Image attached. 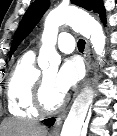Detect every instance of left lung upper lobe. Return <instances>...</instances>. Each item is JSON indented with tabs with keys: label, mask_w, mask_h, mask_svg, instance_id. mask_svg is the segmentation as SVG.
<instances>
[{
	"label": "left lung upper lobe",
	"mask_w": 117,
	"mask_h": 136,
	"mask_svg": "<svg viewBox=\"0 0 117 136\" xmlns=\"http://www.w3.org/2000/svg\"><path fill=\"white\" fill-rule=\"evenodd\" d=\"M73 4L83 7L88 11L98 12L102 21L105 20V8L102 0H71ZM49 7V0H35L25 12L22 21L15 32L10 49L11 54L16 50L20 42L32 31Z\"/></svg>",
	"instance_id": "obj_1"
}]
</instances>
